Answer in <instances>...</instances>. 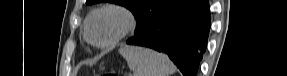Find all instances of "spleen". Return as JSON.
<instances>
[{"label":"spleen","mask_w":287,"mask_h":76,"mask_svg":"<svg viewBox=\"0 0 287 76\" xmlns=\"http://www.w3.org/2000/svg\"><path fill=\"white\" fill-rule=\"evenodd\" d=\"M134 76H170L175 67L170 59L161 53L138 46L119 49Z\"/></svg>","instance_id":"3e777b00"}]
</instances>
